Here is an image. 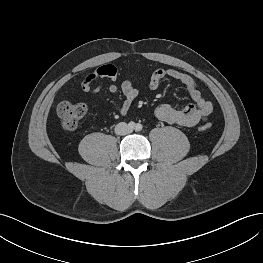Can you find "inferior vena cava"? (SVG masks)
Returning <instances> with one entry per match:
<instances>
[{
	"label": "inferior vena cava",
	"mask_w": 263,
	"mask_h": 263,
	"mask_svg": "<svg viewBox=\"0 0 263 263\" xmlns=\"http://www.w3.org/2000/svg\"><path fill=\"white\" fill-rule=\"evenodd\" d=\"M131 132L130 127L125 122H120L115 126V133L117 135H126Z\"/></svg>",
	"instance_id": "1"
}]
</instances>
